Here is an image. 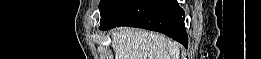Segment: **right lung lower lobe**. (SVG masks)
Wrapping results in <instances>:
<instances>
[{"label": "right lung lower lobe", "instance_id": "obj_1", "mask_svg": "<svg viewBox=\"0 0 261 59\" xmlns=\"http://www.w3.org/2000/svg\"><path fill=\"white\" fill-rule=\"evenodd\" d=\"M184 17L176 0H120L101 16L100 29L120 26L149 29L164 33L187 47Z\"/></svg>", "mask_w": 261, "mask_h": 59}]
</instances>
